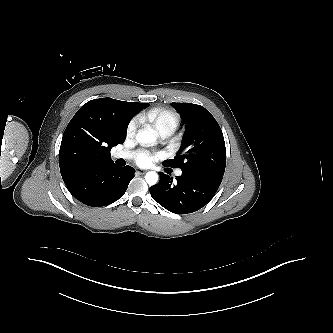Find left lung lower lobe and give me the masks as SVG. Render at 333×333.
Returning <instances> with one entry per match:
<instances>
[{
  "label": "left lung lower lobe",
  "mask_w": 333,
  "mask_h": 333,
  "mask_svg": "<svg viewBox=\"0 0 333 333\" xmlns=\"http://www.w3.org/2000/svg\"><path fill=\"white\" fill-rule=\"evenodd\" d=\"M160 181L150 188L152 198L165 209L176 214L193 213L204 207L215 195L223 176L206 172H182L170 178L159 173Z\"/></svg>",
  "instance_id": "0a47b994"
}]
</instances>
